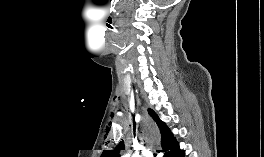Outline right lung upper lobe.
<instances>
[{
	"label": "right lung upper lobe",
	"mask_w": 264,
	"mask_h": 157,
	"mask_svg": "<svg viewBox=\"0 0 264 157\" xmlns=\"http://www.w3.org/2000/svg\"><path fill=\"white\" fill-rule=\"evenodd\" d=\"M149 114L151 117L156 121L160 132H161V146H162V152L168 148L174 141L175 138L173 137L172 132L169 130V128L166 126L164 122H162L157 114L149 109L148 110ZM121 150H124V142L121 141L114 150H104L103 154L101 157H120L119 152Z\"/></svg>",
	"instance_id": "1"
}]
</instances>
